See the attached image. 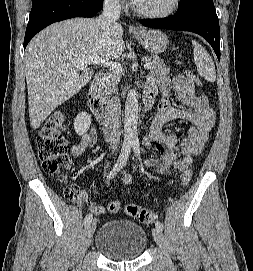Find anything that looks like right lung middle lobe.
Returning a JSON list of instances; mask_svg holds the SVG:
<instances>
[{"instance_id":"dd1d6c3e","label":"right lung middle lobe","mask_w":253,"mask_h":271,"mask_svg":"<svg viewBox=\"0 0 253 271\" xmlns=\"http://www.w3.org/2000/svg\"><path fill=\"white\" fill-rule=\"evenodd\" d=\"M48 1H52V0H33L32 1V7H34V6L38 5V4L48 2Z\"/></svg>"}]
</instances>
